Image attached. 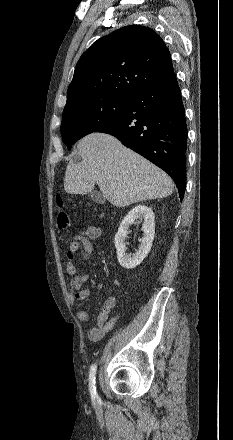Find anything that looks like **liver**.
<instances>
[{"mask_svg":"<svg viewBox=\"0 0 233 440\" xmlns=\"http://www.w3.org/2000/svg\"><path fill=\"white\" fill-rule=\"evenodd\" d=\"M82 160L70 161L64 179L69 194H87L98 184L103 196L116 207L164 198L174 183L160 168L128 149L115 137L94 132L77 144Z\"/></svg>","mask_w":233,"mask_h":440,"instance_id":"liver-1","label":"liver"}]
</instances>
